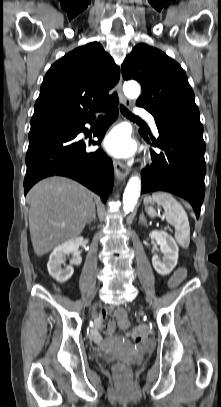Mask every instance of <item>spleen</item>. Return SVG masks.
<instances>
[{
	"mask_svg": "<svg viewBox=\"0 0 221 407\" xmlns=\"http://www.w3.org/2000/svg\"><path fill=\"white\" fill-rule=\"evenodd\" d=\"M149 203H157L163 206L167 222L175 228L176 241L183 248H188L190 243V226L188 216L182 205L171 194L166 192H155L152 196H146L144 204L147 206ZM146 209L150 217L156 215V211L152 206L146 207Z\"/></svg>",
	"mask_w": 221,
	"mask_h": 407,
	"instance_id": "1",
	"label": "spleen"
}]
</instances>
